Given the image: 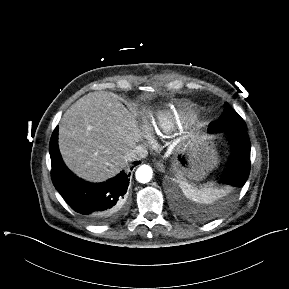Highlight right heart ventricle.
Returning a JSON list of instances; mask_svg holds the SVG:
<instances>
[{"label":"right heart ventricle","mask_w":289,"mask_h":289,"mask_svg":"<svg viewBox=\"0 0 289 289\" xmlns=\"http://www.w3.org/2000/svg\"><path fill=\"white\" fill-rule=\"evenodd\" d=\"M188 118L180 112H165L162 113L157 121L153 124L152 129L156 135L166 136L182 127Z\"/></svg>","instance_id":"e07e8e85"}]
</instances>
